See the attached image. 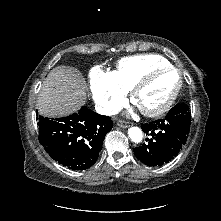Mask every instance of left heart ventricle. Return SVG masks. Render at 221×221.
I'll return each instance as SVG.
<instances>
[{
    "label": "left heart ventricle",
    "instance_id": "left-heart-ventricle-1",
    "mask_svg": "<svg viewBox=\"0 0 221 221\" xmlns=\"http://www.w3.org/2000/svg\"><path fill=\"white\" fill-rule=\"evenodd\" d=\"M178 82L175 72L159 74L137 97V104L145 109L161 106L171 96Z\"/></svg>",
    "mask_w": 221,
    "mask_h": 221
}]
</instances>
